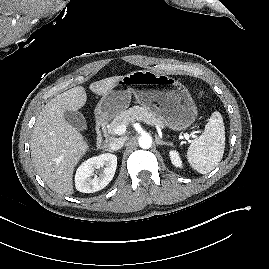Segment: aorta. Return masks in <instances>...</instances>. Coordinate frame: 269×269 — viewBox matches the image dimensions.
I'll use <instances>...</instances> for the list:
<instances>
[{
  "mask_svg": "<svg viewBox=\"0 0 269 269\" xmlns=\"http://www.w3.org/2000/svg\"><path fill=\"white\" fill-rule=\"evenodd\" d=\"M139 146L143 149H148L152 146V138L150 135H143L138 140Z\"/></svg>",
  "mask_w": 269,
  "mask_h": 269,
  "instance_id": "762f6f07",
  "label": "aorta"
}]
</instances>
